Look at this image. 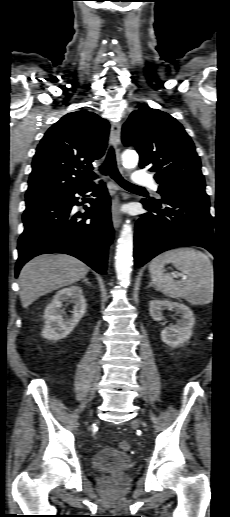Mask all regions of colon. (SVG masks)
<instances>
[{
	"instance_id": "colon-1",
	"label": "colon",
	"mask_w": 230,
	"mask_h": 517,
	"mask_svg": "<svg viewBox=\"0 0 230 517\" xmlns=\"http://www.w3.org/2000/svg\"><path fill=\"white\" fill-rule=\"evenodd\" d=\"M118 448L122 451H128L130 449V444L127 441H120L118 443Z\"/></svg>"
}]
</instances>
